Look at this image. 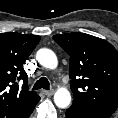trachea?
Returning <instances> with one entry per match:
<instances>
[{"label":"trachea","mask_w":118,"mask_h":118,"mask_svg":"<svg viewBox=\"0 0 118 118\" xmlns=\"http://www.w3.org/2000/svg\"><path fill=\"white\" fill-rule=\"evenodd\" d=\"M41 88L46 89V90H49L50 88V83L45 77H42L39 80H37V82L33 86V90H38Z\"/></svg>","instance_id":"3493384b"}]
</instances>
